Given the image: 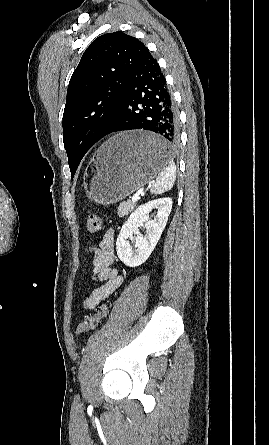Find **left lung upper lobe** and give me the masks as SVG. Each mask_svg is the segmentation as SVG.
<instances>
[{
  "label": "left lung upper lobe",
  "instance_id": "5c2ea615",
  "mask_svg": "<svg viewBox=\"0 0 269 445\" xmlns=\"http://www.w3.org/2000/svg\"><path fill=\"white\" fill-rule=\"evenodd\" d=\"M147 48L118 31L96 38L86 49L67 90L63 142L73 177L86 152L118 115L127 83Z\"/></svg>",
  "mask_w": 269,
  "mask_h": 445
}]
</instances>
